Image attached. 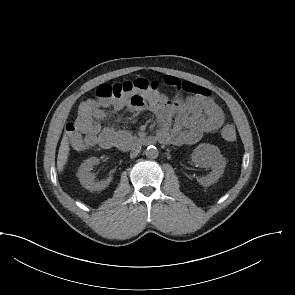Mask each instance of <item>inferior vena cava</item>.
<instances>
[{"label": "inferior vena cava", "mask_w": 295, "mask_h": 295, "mask_svg": "<svg viewBox=\"0 0 295 295\" xmlns=\"http://www.w3.org/2000/svg\"><path fill=\"white\" fill-rule=\"evenodd\" d=\"M140 150H141V146H140V145H136V146H134V147L131 149L130 157H131V158H135V157L140 153Z\"/></svg>", "instance_id": "1"}]
</instances>
